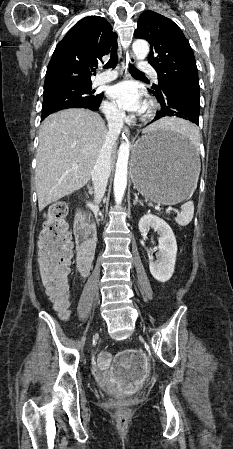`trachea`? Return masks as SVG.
<instances>
[{
    "label": "trachea",
    "mask_w": 233,
    "mask_h": 449,
    "mask_svg": "<svg viewBox=\"0 0 233 449\" xmlns=\"http://www.w3.org/2000/svg\"><path fill=\"white\" fill-rule=\"evenodd\" d=\"M117 61H118V56H117V52L115 49H112L111 51V56L109 61L107 62V64L104 66V68L108 69V68H114L117 65ZM129 71L131 74H138V75H143V73L141 71H139L138 69H136L133 65H129Z\"/></svg>",
    "instance_id": "obj_1"
}]
</instances>
